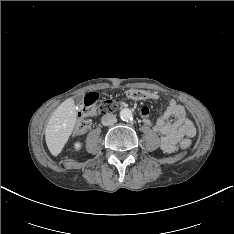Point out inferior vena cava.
I'll use <instances>...</instances> for the list:
<instances>
[{
    "label": "inferior vena cava",
    "instance_id": "602c4592",
    "mask_svg": "<svg viewBox=\"0 0 234 234\" xmlns=\"http://www.w3.org/2000/svg\"><path fill=\"white\" fill-rule=\"evenodd\" d=\"M101 120L102 124L105 126L113 125L117 121L116 116L112 113L105 114Z\"/></svg>",
    "mask_w": 234,
    "mask_h": 234
}]
</instances>
